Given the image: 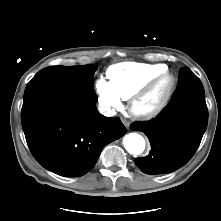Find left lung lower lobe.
<instances>
[{"label": "left lung lower lobe", "instance_id": "left-lung-lower-lobe-1", "mask_svg": "<svg viewBox=\"0 0 221 221\" xmlns=\"http://www.w3.org/2000/svg\"><path fill=\"white\" fill-rule=\"evenodd\" d=\"M208 122V109L200 79L188 68L179 72L175 92L164 110L153 120L135 122L152 145L149 155L136 158L135 164L146 174L170 173L194 155Z\"/></svg>", "mask_w": 221, "mask_h": 221}]
</instances>
